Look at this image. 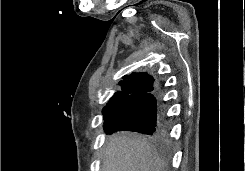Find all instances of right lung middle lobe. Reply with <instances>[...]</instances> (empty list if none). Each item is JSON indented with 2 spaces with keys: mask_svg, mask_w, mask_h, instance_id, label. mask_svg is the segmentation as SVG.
I'll list each match as a JSON object with an SVG mask.
<instances>
[{
  "mask_svg": "<svg viewBox=\"0 0 245 171\" xmlns=\"http://www.w3.org/2000/svg\"><path fill=\"white\" fill-rule=\"evenodd\" d=\"M115 107L114 104H107V106L103 109V115L104 118L107 116V114Z\"/></svg>",
  "mask_w": 245,
  "mask_h": 171,
  "instance_id": "dd1d6c3e",
  "label": "right lung middle lobe"
}]
</instances>
